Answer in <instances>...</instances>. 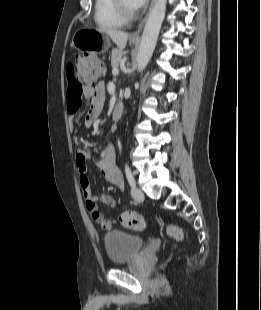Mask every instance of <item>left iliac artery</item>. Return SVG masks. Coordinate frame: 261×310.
<instances>
[{
    "instance_id": "1",
    "label": "left iliac artery",
    "mask_w": 261,
    "mask_h": 310,
    "mask_svg": "<svg viewBox=\"0 0 261 310\" xmlns=\"http://www.w3.org/2000/svg\"><path fill=\"white\" fill-rule=\"evenodd\" d=\"M125 173H126L128 183L130 184V186L132 188H135L136 182H135V179H134L133 174L131 172V169L129 168V166L127 164L125 165Z\"/></svg>"
}]
</instances>
